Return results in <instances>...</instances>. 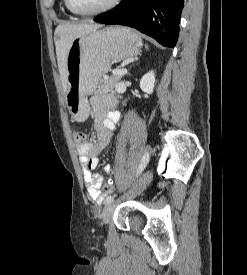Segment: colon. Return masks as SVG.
I'll list each match as a JSON object with an SVG mask.
<instances>
[{
	"mask_svg": "<svg viewBox=\"0 0 247 275\" xmlns=\"http://www.w3.org/2000/svg\"><path fill=\"white\" fill-rule=\"evenodd\" d=\"M85 134L82 132V131H78V130H75L73 132V139H74V142L78 145L80 144H83L84 140H85ZM114 191V184L113 183H107L105 184L104 186V192L106 194H109V193H112Z\"/></svg>",
	"mask_w": 247,
	"mask_h": 275,
	"instance_id": "colon-1",
	"label": "colon"
}]
</instances>
